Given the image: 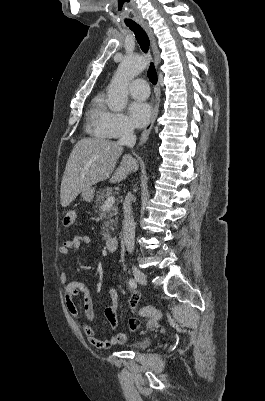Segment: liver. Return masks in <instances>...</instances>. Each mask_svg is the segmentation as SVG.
<instances>
[{
    "instance_id": "obj_1",
    "label": "liver",
    "mask_w": 265,
    "mask_h": 401,
    "mask_svg": "<svg viewBox=\"0 0 265 401\" xmlns=\"http://www.w3.org/2000/svg\"><path fill=\"white\" fill-rule=\"evenodd\" d=\"M123 146L108 138H81L76 142L66 164L61 182V205L68 207L81 190L109 178V182L125 180L127 174L138 170L135 158L123 156L120 166L112 174ZM110 174H112L110 178Z\"/></svg>"
}]
</instances>
